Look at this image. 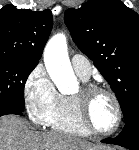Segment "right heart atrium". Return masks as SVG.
<instances>
[{
    "label": "right heart atrium",
    "mask_w": 139,
    "mask_h": 150,
    "mask_svg": "<svg viewBox=\"0 0 139 150\" xmlns=\"http://www.w3.org/2000/svg\"><path fill=\"white\" fill-rule=\"evenodd\" d=\"M24 103L32 122L47 125L60 94L49 78L43 65H37L27 76L24 87Z\"/></svg>",
    "instance_id": "d8ad5b80"
}]
</instances>
